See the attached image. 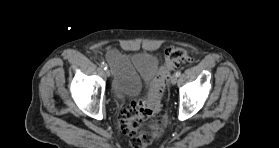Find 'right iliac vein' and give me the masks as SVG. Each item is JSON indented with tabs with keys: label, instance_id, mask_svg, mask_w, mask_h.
I'll use <instances>...</instances> for the list:
<instances>
[{
	"label": "right iliac vein",
	"instance_id": "1",
	"mask_svg": "<svg viewBox=\"0 0 279 148\" xmlns=\"http://www.w3.org/2000/svg\"><path fill=\"white\" fill-rule=\"evenodd\" d=\"M105 75H106L107 77H110L111 72H110V70H109V69H106V70H105Z\"/></svg>",
	"mask_w": 279,
	"mask_h": 148
}]
</instances>
